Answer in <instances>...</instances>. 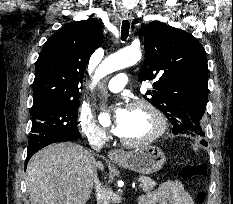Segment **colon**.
Wrapping results in <instances>:
<instances>
[{
	"label": "colon",
	"mask_w": 233,
	"mask_h": 204,
	"mask_svg": "<svg viewBox=\"0 0 233 204\" xmlns=\"http://www.w3.org/2000/svg\"><path fill=\"white\" fill-rule=\"evenodd\" d=\"M207 174L206 166L201 162L189 163L182 167L181 177L184 180H190L195 177L205 176ZM197 202L203 204L206 199V194L204 191H200L197 196Z\"/></svg>",
	"instance_id": "5ec220e1"
}]
</instances>
